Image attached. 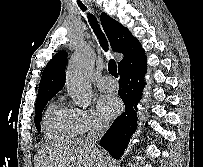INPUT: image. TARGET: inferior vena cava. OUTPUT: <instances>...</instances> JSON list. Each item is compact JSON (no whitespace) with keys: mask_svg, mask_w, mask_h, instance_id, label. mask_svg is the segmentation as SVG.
Listing matches in <instances>:
<instances>
[{"mask_svg":"<svg viewBox=\"0 0 203 167\" xmlns=\"http://www.w3.org/2000/svg\"><path fill=\"white\" fill-rule=\"evenodd\" d=\"M107 128H108L107 124H104L100 121H96L94 123L92 130L89 132L85 142L88 143L95 150H98V148L96 147V143L103 136Z\"/></svg>","mask_w":203,"mask_h":167,"instance_id":"obj_1","label":"inferior vena cava"}]
</instances>
